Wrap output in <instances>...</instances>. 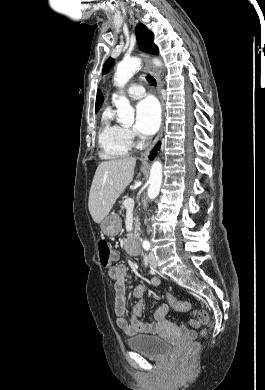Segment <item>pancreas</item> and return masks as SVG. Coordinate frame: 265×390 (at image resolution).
I'll use <instances>...</instances> for the list:
<instances>
[{"instance_id": "cf45deb5", "label": "pancreas", "mask_w": 265, "mask_h": 390, "mask_svg": "<svg viewBox=\"0 0 265 390\" xmlns=\"http://www.w3.org/2000/svg\"><path fill=\"white\" fill-rule=\"evenodd\" d=\"M126 198V197H125ZM125 206H124V201L122 202V206H121V209L124 210ZM137 224H138V220L135 221V231L137 230ZM133 237V234L132 233H129L127 234V238H132ZM126 241V240H125Z\"/></svg>"}]
</instances>
